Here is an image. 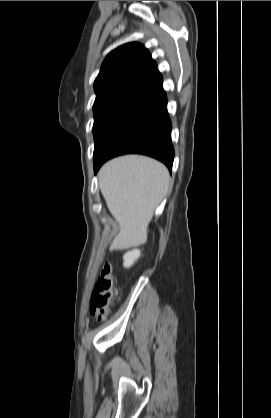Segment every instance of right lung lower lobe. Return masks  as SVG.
Wrapping results in <instances>:
<instances>
[{
	"label": "right lung lower lobe",
	"mask_w": 271,
	"mask_h": 418,
	"mask_svg": "<svg viewBox=\"0 0 271 418\" xmlns=\"http://www.w3.org/2000/svg\"><path fill=\"white\" fill-rule=\"evenodd\" d=\"M166 106L167 98L124 127L94 159L95 173L107 160L127 153L156 158L171 171L174 149L171 142L172 125Z\"/></svg>",
	"instance_id": "obj_1"
}]
</instances>
